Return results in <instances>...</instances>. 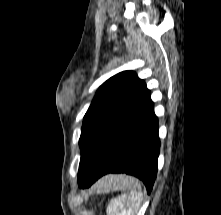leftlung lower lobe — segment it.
<instances>
[{
	"mask_svg": "<svg viewBox=\"0 0 221 215\" xmlns=\"http://www.w3.org/2000/svg\"><path fill=\"white\" fill-rule=\"evenodd\" d=\"M158 129L154 103L145 88L115 119L79 187L88 188L108 173H126L141 179L150 193L157 175Z\"/></svg>",
	"mask_w": 221,
	"mask_h": 215,
	"instance_id": "0a47b994",
	"label": "left lung lower lobe"
}]
</instances>
